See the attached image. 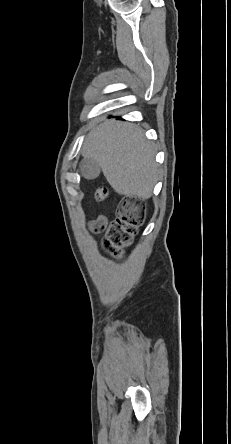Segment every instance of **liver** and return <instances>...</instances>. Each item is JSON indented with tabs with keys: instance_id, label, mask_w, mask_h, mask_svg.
<instances>
[{
	"instance_id": "obj_1",
	"label": "liver",
	"mask_w": 231,
	"mask_h": 444,
	"mask_svg": "<svg viewBox=\"0 0 231 444\" xmlns=\"http://www.w3.org/2000/svg\"><path fill=\"white\" fill-rule=\"evenodd\" d=\"M82 155L97 161L116 193L151 197L159 170L154 146L138 126L115 121L100 124L87 137Z\"/></svg>"
}]
</instances>
